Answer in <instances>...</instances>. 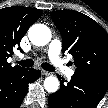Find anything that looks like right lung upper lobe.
I'll list each match as a JSON object with an SVG mask.
<instances>
[{
  "label": "right lung upper lobe",
  "mask_w": 108,
  "mask_h": 108,
  "mask_svg": "<svg viewBox=\"0 0 108 108\" xmlns=\"http://www.w3.org/2000/svg\"><path fill=\"white\" fill-rule=\"evenodd\" d=\"M41 15L42 11L34 8L13 6L0 9V76L24 69L18 65L11 66L7 58L13 53L14 47L23 51L19 46L20 41Z\"/></svg>",
  "instance_id": "right-lung-upper-lobe-1"
}]
</instances>
